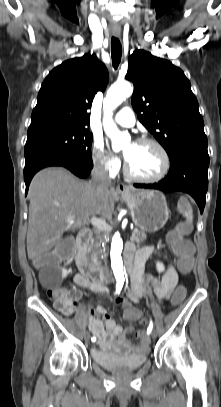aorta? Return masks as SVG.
I'll list each match as a JSON object with an SVG mask.
<instances>
[{
  "instance_id": "762f6f07",
  "label": "aorta",
  "mask_w": 221,
  "mask_h": 407,
  "mask_svg": "<svg viewBox=\"0 0 221 407\" xmlns=\"http://www.w3.org/2000/svg\"><path fill=\"white\" fill-rule=\"evenodd\" d=\"M133 87L128 82L116 83L110 87L104 99L103 126L105 133L112 141V147L118 146L120 132L112 120V111L119 106L127 97L132 95ZM123 241L120 234H114L111 243V268L117 281H124L122 253Z\"/></svg>"
}]
</instances>
